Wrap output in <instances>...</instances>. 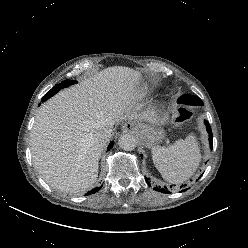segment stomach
I'll use <instances>...</instances> for the list:
<instances>
[{
	"mask_svg": "<svg viewBox=\"0 0 248 248\" xmlns=\"http://www.w3.org/2000/svg\"><path fill=\"white\" fill-rule=\"evenodd\" d=\"M142 77L144 79H149V76L146 72L142 73ZM135 130L140 135L143 143L146 144L147 146L154 145L164 138V132L161 129L136 125Z\"/></svg>",
	"mask_w": 248,
	"mask_h": 248,
	"instance_id": "obj_1",
	"label": "stomach"
}]
</instances>
